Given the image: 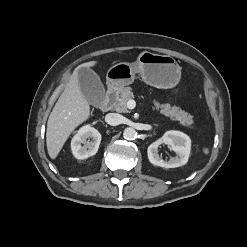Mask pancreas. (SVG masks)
<instances>
[{"label": "pancreas", "instance_id": "pancreas-1", "mask_svg": "<svg viewBox=\"0 0 247 247\" xmlns=\"http://www.w3.org/2000/svg\"><path fill=\"white\" fill-rule=\"evenodd\" d=\"M120 99L115 105V110L120 113L128 112L127 101L133 98V92L131 87H125L120 92ZM154 110L159 111L171 120L178 121L181 125L192 128L193 117L187 112L183 111L177 106H171L169 103L160 104L158 101L154 100Z\"/></svg>", "mask_w": 247, "mask_h": 247}]
</instances>
